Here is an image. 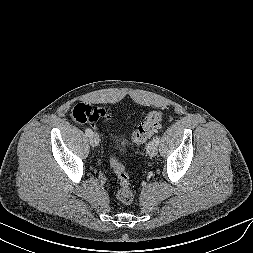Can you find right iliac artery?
<instances>
[{"label": "right iliac artery", "instance_id": "right-iliac-artery-1", "mask_svg": "<svg viewBox=\"0 0 253 253\" xmlns=\"http://www.w3.org/2000/svg\"><path fill=\"white\" fill-rule=\"evenodd\" d=\"M85 133H86V135H87L88 137H90V136L93 134V131H92L91 129L87 128V129L85 130Z\"/></svg>", "mask_w": 253, "mask_h": 253}]
</instances>
